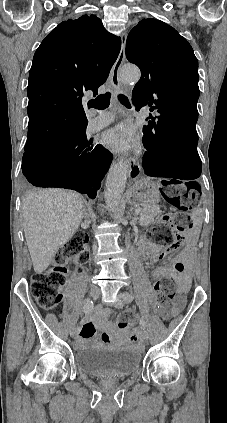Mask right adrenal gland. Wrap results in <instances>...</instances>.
I'll return each mask as SVG.
<instances>
[{"label":"right adrenal gland","instance_id":"right-adrenal-gland-1","mask_svg":"<svg viewBox=\"0 0 227 423\" xmlns=\"http://www.w3.org/2000/svg\"><path fill=\"white\" fill-rule=\"evenodd\" d=\"M83 213H84V215H86V213H87L86 206H83Z\"/></svg>","mask_w":227,"mask_h":423}]
</instances>
